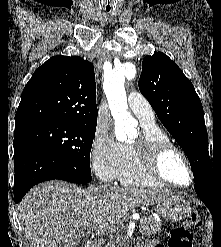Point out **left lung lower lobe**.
I'll return each instance as SVG.
<instances>
[{"mask_svg": "<svg viewBox=\"0 0 221 247\" xmlns=\"http://www.w3.org/2000/svg\"><path fill=\"white\" fill-rule=\"evenodd\" d=\"M194 188L198 197L211 212L215 201L221 198V179L217 181L212 178L205 182H199L195 184Z\"/></svg>", "mask_w": 221, "mask_h": 247, "instance_id": "1", "label": "left lung lower lobe"}]
</instances>
